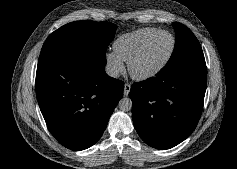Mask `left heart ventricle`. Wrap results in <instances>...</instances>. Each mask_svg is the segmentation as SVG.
I'll list each match as a JSON object with an SVG mask.
<instances>
[{"instance_id":"left-heart-ventricle-1","label":"left heart ventricle","mask_w":237,"mask_h":169,"mask_svg":"<svg viewBox=\"0 0 237 169\" xmlns=\"http://www.w3.org/2000/svg\"><path fill=\"white\" fill-rule=\"evenodd\" d=\"M171 44L169 34L159 35L135 64V70L144 72L157 66L169 53Z\"/></svg>"}]
</instances>
